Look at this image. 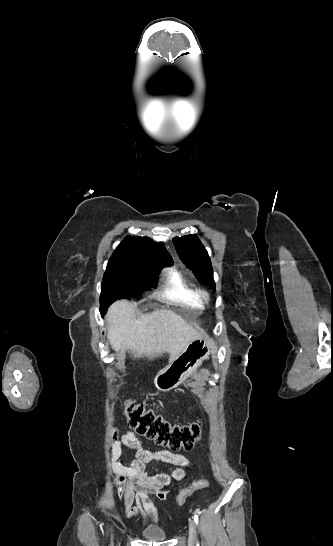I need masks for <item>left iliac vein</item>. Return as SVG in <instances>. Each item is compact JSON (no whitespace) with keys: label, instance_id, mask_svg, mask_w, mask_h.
Returning <instances> with one entry per match:
<instances>
[{"label":"left iliac vein","instance_id":"left-iliac-vein-1","mask_svg":"<svg viewBox=\"0 0 333 546\" xmlns=\"http://www.w3.org/2000/svg\"><path fill=\"white\" fill-rule=\"evenodd\" d=\"M188 546H196V527L193 520L189 522Z\"/></svg>","mask_w":333,"mask_h":546}]
</instances>
